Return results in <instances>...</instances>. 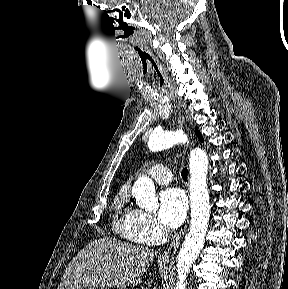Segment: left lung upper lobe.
Wrapping results in <instances>:
<instances>
[{"label":"left lung upper lobe","mask_w":288,"mask_h":289,"mask_svg":"<svg viewBox=\"0 0 288 289\" xmlns=\"http://www.w3.org/2000/svg\"><path fill=\"white\" fill-rule=\"evenodd\" d=\"M195 133H196L197 137L199 138V140L203 142V138H202L200 131L196 130Z\"/></svg>","instance_id":"5c2ea615"}]
</instances>
